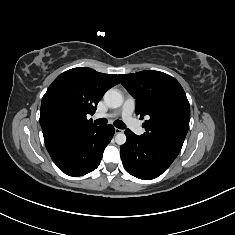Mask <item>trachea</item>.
Returning <instances> with one entry per match:
<instances>
[{
  "label": "trachea",
  "mask_w": 235,
  "mask_h": 235,
  "mask_svg": "<svg viewBox=\"0 0 235 235\" xmlns=\"http://www.w3.org/2000/svg\"><path fill=\"white\" fill-rule=\"evenodd\" d=\"M94 122L97 125H105V124H107V119L101 118V119L95 120ZM114 125H115V127L119 128V129H125L126 128V125L121 120L114 121Z\"/></svg>",
  "instance_id": "obj_1"
}]
</instances>
